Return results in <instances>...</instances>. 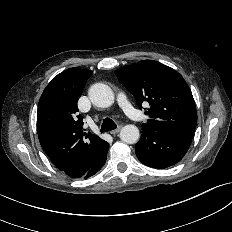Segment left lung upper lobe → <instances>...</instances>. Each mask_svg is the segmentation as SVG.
<instances>
[{"instance_id":"left-lung-upper-lobe-1","label":"left lung upper lobe","mask_w":232,"mask_h":232,"mask_svg":"<svg viewBox=\"0 0 232 232\" xmlns=\"http://www.w3.org/2000/svg\"><path fill=\"white\" fill-rule=\"evenodd\" d=\"M119 81L133 94L140 109L148 102L150 116L142 128L154 131L194 133L196 106L190 88L174 69L153 60H143L115 71Z\"/></svg>"}]
</instances>
